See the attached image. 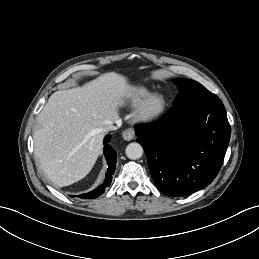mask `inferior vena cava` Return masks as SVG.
<instances>
[{"label":"inferior vena cava","instance_id":"1","mask_svg":"<svg viewBox=\"0 0 259 259\" xmlns=\"http://www.w3.org/2000/svg\"><path fill=\"white\" fill-rule=\"evenodd\" d=\"M114 123H116L117 125H119L120 124V121L119 120H115L114 122H112V123H110V124H108V125H105L104 127H103V132L105 133V132H109V131H114V130H116L117 129V126L116 125H114Z\"/></svg>","mask_w":259,"mask_h":259}]
</instances>
